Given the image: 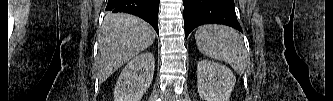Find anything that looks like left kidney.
<instances>
[{"label": "left kidney", "instance_id": "left-kidney-1", "mask_svg": "<svg viewBox=\"0 0 333 101\" xmlns=\"http://www.w3.org/2000/svg\"><path fill=\"white\" fill-rule=\"evenodd\" d=\"M197 88L205 101H229L236 78L223 64L201 60L197 64Z\"/></svg>", "mask_w": 333, "mask_h": 101}]
</instances>
